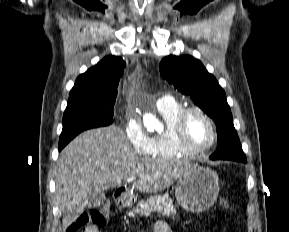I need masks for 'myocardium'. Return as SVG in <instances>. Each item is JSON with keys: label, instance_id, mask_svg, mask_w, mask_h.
<instances>
[{"label": "myocardium", "instance_id": "myocardium-1", "mask_svg": "<svg viewBox=\"0 0 289 232\" xmlns=\"http://www.w3.org/2000/svg\"><path fill=\"white\" fill-rule=\"evenodd\" d=\"M192 113H197L201 115L207 121V123L209 124L211 128V132H212L211 140L205 145L196 146V145L191 144L187 139L186 122H187L189 115ZM174 134L179 144L183 148L193 153H200L209 149L215 144L217 140V128H216L215 122L213 121V119L210 117V115L207 112H205L203 109L196 107V106L184 107L179 112L174 123Z\"/></svg>", "mask_w": 289, "mask_h": 232}]
</instances>
